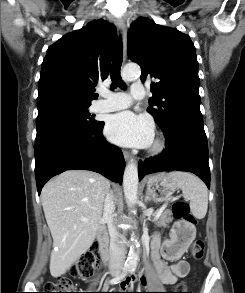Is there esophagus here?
Masks as SVG:
<instances>
[{
  "instance_id": "34e87169",
  "label": "esophagus",
  "mask_w": 245,
  "mask_h": 293,
  "mask_svg": "<svg viewBox=\"0 0 245 293\" xmlns=\"http://www.w3.org/2000/svg\"><path fill=\"white\" fill-rule=\"evenodd\" d=\"M116 24L118 26V28L121 31L122 34V42H123V54L125 56L126 53V43H127V31H126V24H125V20L123 18H118L116 20ZM123 155L125 160H130L131 159V155L128 151H123Z\"/></svg>"
}]
</instances>
